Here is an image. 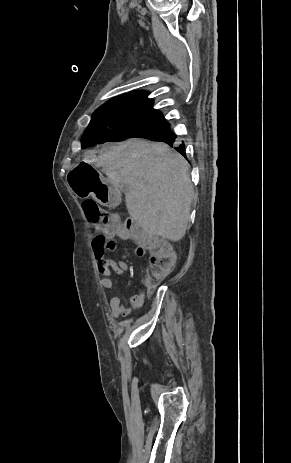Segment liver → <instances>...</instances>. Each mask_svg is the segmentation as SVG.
Here are the masks:
<instances>
[{
  "label": "liver",
  "instance_id": "6515ba94",
  "mask_svg": "<svg viewBox=\"0 0 291 463\" xmlns=\"http://www.w3.org/2000/svg\"><path fill=\"white\" fill-rule=\"evenodd\" d=\"M102 167L108 181L127 187L131 218L148 234L177 242L185 235L194 190L188 163L164 143L141 139L104 147L85 159Z\"/></svg>",
  "mask_w": 291,
  "mask_h": 463
}]
</instances>
